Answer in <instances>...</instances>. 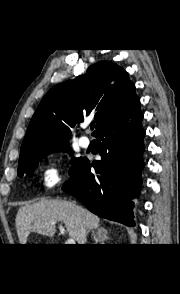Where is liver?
I'll use <instances>...</instances> for the list:
<instances>
[{"instance_id":"liver-1","label":"liver","mask_w":180,"mask_h":294,"mask_svg":"<svg viewBox=\"0 0 180 294\" xmlns=\"http://www.w3.org/2000/svg\"><path fill=\"white\" fill-rule=\"evenodd\" d=\"M63 221L70 238L85 244L87 233L99 226L100 218L73 202L62 199H42L19 208L15 227L20 244H26L31 232L52 237L56 223Z\"/></svg>"}]
</instances>
